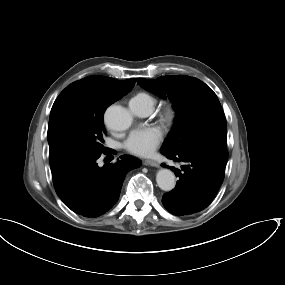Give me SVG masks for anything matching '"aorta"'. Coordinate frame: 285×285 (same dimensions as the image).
<instances>
[{"label": "aorta", "instance_id": "1", "mask_svg": "<svg viewBox=\"0 0 285 285\" xmlns=\"http://www.w3.org/2000/svg\"><path fill=\"white\" fill-rule=\"evenodd\" d=\"M106 125L115 131L127 130L133 121L131 113L120 105H112L105 112ZM156 182L163 191H171L175 188L174 173L169 169H160L156 175Z\"/></svg>", "mask_w": 285, "mask_h": 285}]
</instances>
